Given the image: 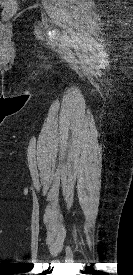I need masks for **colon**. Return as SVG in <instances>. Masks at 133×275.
I'll return each mask as SVG.
<instances>
[{
  "label": "colon",
  "mask_w": 133,
  "mask_h": 275,
  "mask_svg": "<svg viewBox=\"0 0 133 275\" xmlns=\"http://www.w3.org/2000/svg\"><path fill=\"white\" fill-rule=\"evenodd\" d=\"M3 10H2V14L5 17H10L12 16L16 10H17V5H16V1L15 0H3Z\"/></svg>",
  "instance_id": "1"
}]
</instances>
